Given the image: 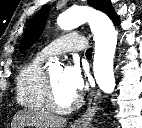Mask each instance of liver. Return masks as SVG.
Instances as JSON below:
<instances>
[{"mask_svg": "<svg viewBox=\"0 0 142 128\" xmlns=\"http://www.w3.org/2000/svg\"><path fill=\"white\" fill-rule=\"evenodd\" d=\"M66 120L45 110L24 109L18 111L12 120L11 128L32 126L35 128H64Z\"/></svg>", "mask_w": 142, "mask_h": 128, "instance_id": "obj_1", "label": "liver"}]
</instances>
